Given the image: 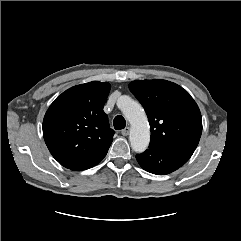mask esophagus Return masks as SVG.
I'll list each match as a JSON object with an SVG mask.
<instances>
[{"label":"esophagus","mask_w":241,"mask_h":241,"mask_svg":"<svg viewBox=\"0 0 241 241\" xmlns=\"http://www.w3.org/2000/svg\"><path fill=\"white\" fill-rule=\"evenodd\" d=\"M129 132H130V128H129V127H126V128H124V129L121 131V134H122L123 136H127V135L129 134Z\"/></svg>","instance_id":"1"}]
</instances>
